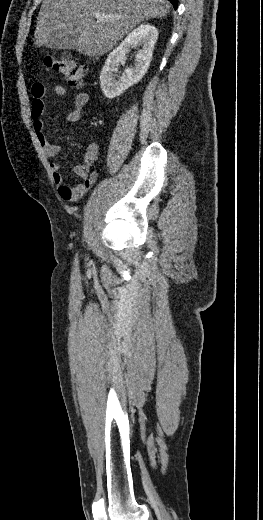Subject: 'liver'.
Returning a JSON list of instances; mask_svg holds the SVG:
<instances>
[{
	"mask_svg": "<svg viewBox=\"0 0 263 520\" xmlns=\"http://www.w3.org/2000/svg\"><path fill=\"white\" fill-rule=\"evenodd\" d=\"M170 7L167 0H43L35 44L48 46L49 37L55 32L78 33L74 49L83 55L100 56L141 22L164 17ZM95 13L119 18L99 20Z\"/></svg>",
	"mask_w": 263,
	"mask_h": 520,
	"instance_id": "1",
	"label": "liver"
}]
</instances>
